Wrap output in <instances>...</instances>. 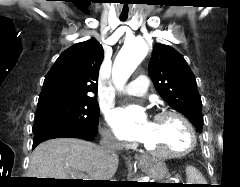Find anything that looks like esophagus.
<instances>
[{
    "label": "esophagus",
    "mask_w": 240,
    "mask_h": 187,
    "mask_svg": "<svg viewBox=\"0 0 240 187\" xmlns=\"http://www.w3.org/2000/svg\"><path fill=\"white\" fill-rule=\"evenodd\" d=\"M140 162H144V161H146L147 160V156H145V155H142V156H140Z\"/></svg>",
    "instance_id": "34e87169"
}]
</instances>
